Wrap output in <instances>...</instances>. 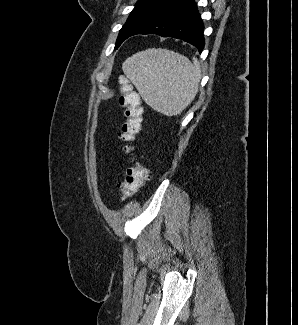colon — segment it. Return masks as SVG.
Returning <instances> with one entry per match:
<instances>
[{"instance_id": "obj_1", "label": "colon", "mask_w": 298, "mask_h": 325, "mask_svg": "<svg viewBox=\"0 0 298 325\" xmlns=\"http://www.w3.org/2000/svg\"><path fill=\"white\" fill-rule=\"evenodd\" d=\"M120 84L119 104L124 116L120 137L126 143L123 148L124 152L129 154L134 150L132 143L141 130L143 108L138 93L132 89L128 82L121 79ZM130 161L125 179L120 187L122 199H128L137 194L148 177L146 166L139 161L137 156H133Z\"/></svg>"}]
</instances>
